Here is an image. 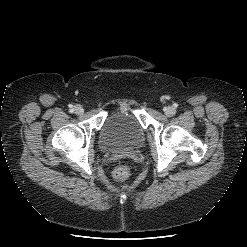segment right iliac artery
Returning a JSON list of instances; mask_svg holds the SVG:
<instances>
[{
    "mask_svg": "<svg viewBox=\"0 0 247 247\" xmlns=\"http://www.w3.org/2000/svg\"><path fill=\"white\" fill-rule=\"evenodd\" d=\"M70 110L73 112V105H69Z\"/></svg>",
    "mask_w": 247,
    "mask_h": 247,
    "instance_id": "obj_1",
    "label": "right iliac artery"
}]
</instances>
